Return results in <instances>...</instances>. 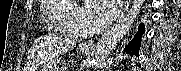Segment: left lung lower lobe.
<instances>
[{"instance_id":"obj_1","label":"left lung lower lobe","mask_w":181,"mask_h":71,"mask_svg":"<svg viewBox=\"0 0 181 71\" xmlns=\"http://www.w3.org/2000/svg\"><path fill=\"white\" fill-rule=\"evenodd\" d=\"M145 32L144 25L141 23L139 25L138 32L135 34L132 41L129 42V44L125 47V51L129 53L131 56L139 55V49L141 44V35Z\"/></svg>"}]
</instances>
